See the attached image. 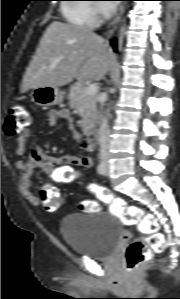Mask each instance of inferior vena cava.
<instances>
[{
    "mask_svg": "<svg viewBox=\"0 0 180 299\" xmlns=\"http://www.w3.org/2000/svg\"><path fill=\"white\" fill-rule=\"evenodd\" d=\"M103 102L104 100L101 99L100 100V106L101 108L103 107ZM108 135H109V130H108V126H107V122L104 119L101 127L99 129V146H100V156L104 157L107 154V150H108Z\"/></svg>",
    "mask_w": 180,
    "mask_h": 299,
    "instance_id": "inferior-vena-cava-1",
    "label": "inferior vena cava"
}]
</instances>
